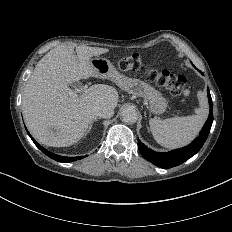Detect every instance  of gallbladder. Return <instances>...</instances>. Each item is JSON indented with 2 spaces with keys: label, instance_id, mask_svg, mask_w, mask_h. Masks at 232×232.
Segmentation results:
<instances>
[{
  "label": "gallbladder",
  "instance_id": "bac80fb5",
  "mask_svg": "<svg viewBox=\"0 0 232 232\" xmlns=\"http://www.w3.org/2000/svg\"><path fill=\"white\" fill-rule=\"evenodd\" d=\"M81 87V82L80 81H75L71 83V88L72 89H77Z\"/></svg>",
  "mask_w": 232,
  "mask_h": 232
}]
</instances>
